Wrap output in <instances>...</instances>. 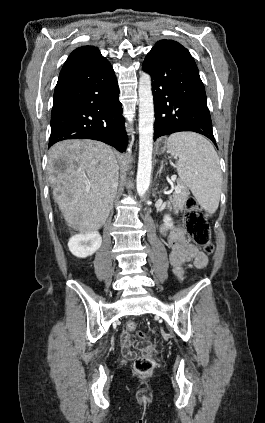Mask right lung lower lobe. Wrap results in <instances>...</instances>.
Segmentation results:
<instances>
[{
	"instance_id": "1",
	"label": "right lung lower lobe",
	"mask_w": 265,
	"mask_h": 423,
	"mask_svg": "<svg viewBox=\"0 0 265 423\" xmlns=\"http://www.w3.org/2000/svg\"><path fill=\"white\" fill-rule=\"evenodd\" d=\"M118 98L116 76L104 57L68 59L54 91L49 147L65 139L87 138L123 152L128 138Z\"/></svg>"
}]
</instances>
